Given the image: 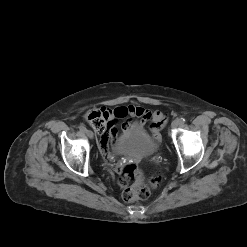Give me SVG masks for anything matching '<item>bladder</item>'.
I'll return each instance as SVG.
<instances>
[{"label":"bladder","instance_id":"1","mask_svg":"<svg viewBox=\"0 0 247 247\" xmlns=\"http://www.w3.org/2000/svg\"><path fill=\"white\" fill-rule=\"evenodd\" d=\"M157 146L152 138L141 128L124 132L115 142L114 152L122 155L152 154Z\"/></svg>","mask_w":247,"mask_h":247}]
</instances>
